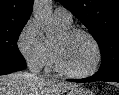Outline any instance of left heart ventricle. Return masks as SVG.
Listing matches in <instances>:
<instances>
[{"label":"left heart ventricle","mask_w":119,"mask_h":95,"mask_svg":"<svg viewBox=\"0 0 119 95\" xmlns=\"http://www.w3.org/2000/svg\"><path fill=\"white\" fill-rule=\"evenodd\" d=\"M55 43L60 46L63 61L70 70L85 72L93 66L96 51L86 36L76 35L66 38L63 33Z\"/></svg>","instance_id":"obj_1"}]
</instances>
